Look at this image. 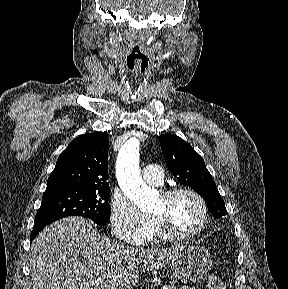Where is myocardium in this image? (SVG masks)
Masks as SVG:
<instances>
[{"instance_id": "myocardium-1", "label": "myocardium", "mask_w": 288, "mask_h": 289, "mask_svg": "<svg viewBox=\"0 0 288 289\" xmlns=\"http://www.w3.org/2000/svg\"><path fill=\"white\" fill-rule=\"evenodd\" d=\"M183 194L192 196L198 202L201 208V212H202V220H201V223L198 225V227L192 230L191 232L179 233L170 227L168 221L165 218L158 216V215H153V220L158 230L160 231V233L166 238L171 239V240L192 239L200 235L202 232H204L205 229L209 225V210H208L207 203L205 199L194 189L189 188V187L172 188V189L162 192L161 198L166 204H168L172 200H174L176 197L183 195Z\"/></svg>"}]
</instances>
